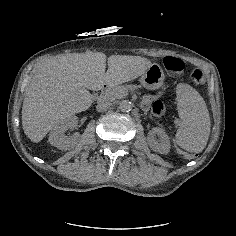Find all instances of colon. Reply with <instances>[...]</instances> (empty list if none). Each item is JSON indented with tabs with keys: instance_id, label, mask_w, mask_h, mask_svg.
<instances>
[{
	"instance_id": "1",
	"label": "colon",
	"mask_w": 236,
	"mask_h": 236,
	"mask_svg": "<svg viewBox=\"0 0 236 236\" xmlns=\"http://www.w3.org/2000/svg\"><path fill=\"white\" fill-rule=\"evenodd\" d=\"M163 66L169 72L181 73L187 68V62L182 57L167 56L163 59ZM189 77L190 81L196 85L204 84L206 81L200 69H194ZM151 112L157 117L165 116L166 108L164 102L159 98H155L151 104Z\"/></svg>"
}]
</instances>
